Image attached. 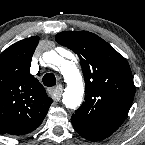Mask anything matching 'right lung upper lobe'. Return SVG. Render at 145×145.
<instances>
[{"mask_svg": "<svg viewBox=\"0 0 145 145\" xmlns=\"http://www.w3.org/2000/svg\"><path fill=\"white\" fill-rule=\"evenodd\" d=\"M38 36L21 40L0 55V133L23 135L40 126L52 103L30 72Z\"/></svg>", "mask_w": 145, "mask_h": 145, "instance_id": "cb5924a9", "label": "right lung upper lobe"}]
</instances>
